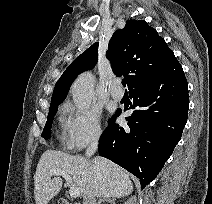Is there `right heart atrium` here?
<instances>
[{"label": "right heart atrium", "instance_id": "1", "mask_svg": "<svg viewBox=\"0 0 212 204\" xmlns=\"http://www.w3.org/2000/svg\"><path fill=\"white\" fill-rule=\"evenodd\" d=\"M62 123L63 141L71 151H80L97 142L102 134L101 114L96 108H77L67 104Z\"/></svg>", "mask_w": 212, "mask_h": 204}]
</instances>
